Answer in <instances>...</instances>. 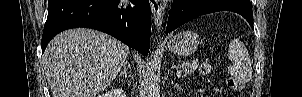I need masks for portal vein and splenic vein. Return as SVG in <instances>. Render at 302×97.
I'll use <instances>...</instances> for the list:
<instances>
[{
  "mask_svg": "<svg viewBox=\"0 0 302 97\" xmlns=\"http://www.w3.org/2000/svg\"><path fill=\"white\" fill-rule=\"evenodd\" d=\"M182 70H177V75H181Z\"/></svg>",
  "mask_w": 302,
  "mask_h": 97,
  "instance_id": "1",
  "label": "portal vein and splenic vein"
}]
</instances>
